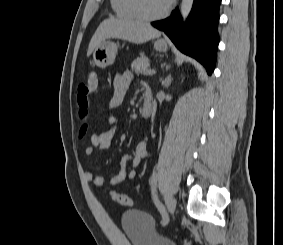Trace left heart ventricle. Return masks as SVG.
I'll list each match as a JSON object with an SVG mask.
<instances>
[{"mask_svg":"<svg viewBox=\"0 0 283 245\" xmlns=\"http://www.w3.org/2000/svg\"><path fill=\"white\" fill-rule=\"evenodd\" d=\"M169 0H141V6L145 13L155 15L162 12Z\"/></svg>","mask_w":283,"mask_h":245,"instance_id":"b2bd125f","label":"left heart ventricle"}]
</instances>
